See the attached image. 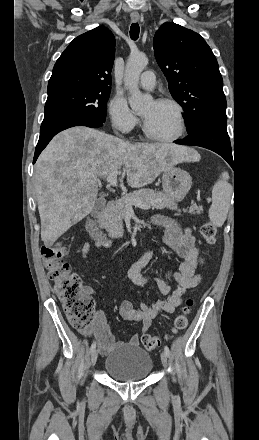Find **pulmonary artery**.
Here are the masks:
<instances>
[{"label": "pulmonary artery", "mask_w": 259, "mask_h": 440, "mask_svg": "<svg viewBox=\"0 0 259 440\" xmlns=\"http://www.w3.org/2000/svg\"><path fill=\"white\" fill-rule=\"evenodd\" d=\"M155 74L154 72L148 70L143 72L140 78V87L146 90H151L155 87Z\"/></svg>", "instance_id": "pulmonary-artery-1"}]
</instances>
